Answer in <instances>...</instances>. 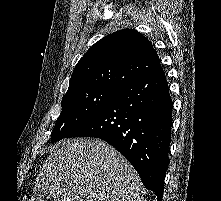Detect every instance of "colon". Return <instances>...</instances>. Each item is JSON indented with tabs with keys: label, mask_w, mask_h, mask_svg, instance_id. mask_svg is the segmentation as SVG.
Here are the masks:
<instances>
[{
	"label": "colon",
	"mask_w": 221,
	"mask_h": 201,
	"mask_svg": "<svg viewBox=\"0 0 221 201\" xmlns=\"http://www.w3.org/2000/svg\"><path fill=\"white\" fill-rule=\"evenodd\" d=\"M21 201H37V200L31 195H27Z\"/></svg>",
	"instance_id": "1"
}]
</instances>
